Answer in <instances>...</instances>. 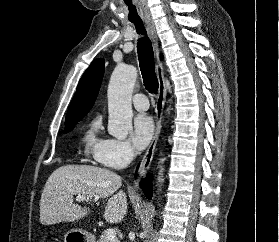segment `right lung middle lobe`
Masks as SVG:
<instances>
[{
    "instance_id": "right-lung-middle-lobe-1",
    "label": "right lung middle lobe",
    "mask_w": 279,
    "mask_h": 242,
    "mask_svg": "<svg viewBox=\"0 0 279 242\" xmlns=\"http://www.w3.org/2000/svg\"><path fill=\"white\" fill-rule=\"evenodd\" d=\"M74 124L75 123L65 124L64 132L67 133V132L71 131L74 128Z\"/></svg>"
}]
</instances>
